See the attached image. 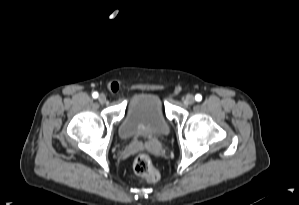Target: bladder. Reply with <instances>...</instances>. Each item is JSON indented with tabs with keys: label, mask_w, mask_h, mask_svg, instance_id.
Returning a JSON list of instances; mask_svg holds the SVG:
<instances>
[{
	"label": "bladder",
	"mask_w": 299,
	"mask_h": 205,
	"mask_svg": "<svg viewBox=\"0 0 299 205\" xmlns=\"http://www.w3.org/2000/svg\"><path fill=\"white\" fill-rule=\"evenodd\" d=\"M168 134L169 125L160 98L152 93L135 96L120 124V137L124 140H151Z\"/></svg>",
	"instance_id": "31cf9c89"
}]
</instances>
